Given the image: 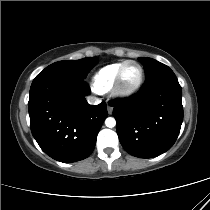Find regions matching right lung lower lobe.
I'll list each match as a JSON object with an SVG mask.
<instances>
[{"label":"right lung lower lobe","mask_w":210,"mask_h":210,"mask_svg":"<svg viewBox=\"0 0 210 210\" xmlns=\"http://www.w3.org/2000/svg\"><path fill=\"white\" fill-rule=\"evenodd\" d=\"M84 79L36 77L30 88L29 115L33 137L53 159L71 163L87 158L107 117L106 103L89 105Z\"/></svg>","instance_id":"right-lung-lower-lobe-1"}]
</instances>
